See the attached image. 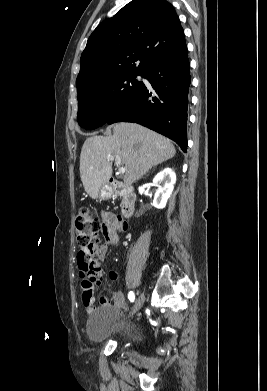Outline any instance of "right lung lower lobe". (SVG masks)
Listing matches in <instances>:
<instances>
[{
    "label": "right lung lower lobe",
    "instance_id": "obj_1",
    "mask_svg": "<svg viewBox=\"0 0 267 391\" xmlns=\"http://www.w3.org/2000/svg\"><path fill=\"white\" fill-rule=\"evenodd\" d=\"M154 93L143 84L124 105L116 110L108 124L135 122L175 141L187 151V107L191 83L187 46L163 56L143 71Z\"/></svg>",
    "mask_w": 267,
    "mask_h": 391
}]
</instances>
